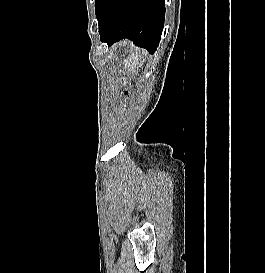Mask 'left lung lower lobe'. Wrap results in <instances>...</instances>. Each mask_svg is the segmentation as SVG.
<instances>
[{"label": "left lung lower lobe", "instance_id": "1", "mask_svg": "<svg viewBox=\"0 0 265 273\" xmlns=\"http://www.w3.org/2000/svg\"><path fill=\"white\" fill-rule=\"evenodd\" d=\"M105 10L99 26L101 41L109 46L128 38L154 53L161 39L165 17L164 0H95Z\"/></svg>", "mask_w": 265, "mask_h": 273}]
</instances>
